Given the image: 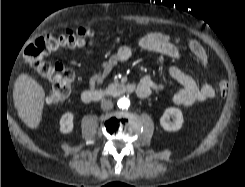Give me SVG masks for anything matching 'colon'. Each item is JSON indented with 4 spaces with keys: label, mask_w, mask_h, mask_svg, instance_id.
Masks as SVG:
<instances>
[{
    "label": "colon",
    "mask_w": 245,
    "mask_h": 187,
    "mask_svg": "<svg viewBox=\"0 0 245 187\" xmlns=\"http://www.w3.org/2000/svg\"><path fill=\"white\" fill-rule=\"evenodd\" d=\"M94 37L95 33L92 30L78 28L46 34L26 47L25 64L35 70L43 79L53 84L45 98L48 104H56L69 97L75 74L66 65L48 61L46 57L61 47H81L90 44ZM227 89V81H219L218 90L222 95L226 93Z\"/></svg>",
    "instance_id": "colon-1"
}]
</instances>
